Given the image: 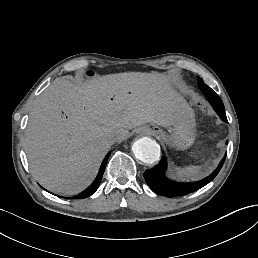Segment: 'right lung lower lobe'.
<instances>
[{"label":"right lung lower lobe","instance_id":"98d812e1","mask_svg":"<svg viewBox=\"0 0 258 258\" xmlns=\"http://www.w3.org/2000/svg\"><path fill=\"white\" fill-rule=\"evenodd\" d=\"M109 155H110V153H108L106 155V157L104 158V160L101 164L100 170L98 172V175H97L96 179L94 180V182L86 190H84L80 194H78L76 196H73V197H69V198L67 197L66 199L86 198V197H89L90 195H92L98 189V187L100 185V182H101V179H102V176H103V173H104V170H105V167H106V163H107Z\"/></svg>","mask_w":258,"mask_h":258}]
</instances>
